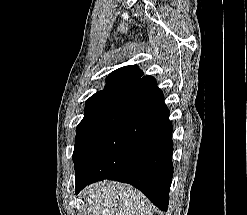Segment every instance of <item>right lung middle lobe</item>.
<instances>
[{
    "mask_svg": "<svg viewBox=\"0 0 247 215\" xmlns=\"http://www.w3.org/2000/svg\"><path fill=\"white\" fill-rule=\"evenodd\" d=\"M125 91V89L100 91L86 101L84 118L79 123L76 130L77 135L73 160L89 131L114 106Z\"/></svg>",
    "mask_w": 247,
    "mask_h": 215,
    "instance_id": "dd1d6c3e",
    "label": "right lung middle lobe"
}]
</instances>
